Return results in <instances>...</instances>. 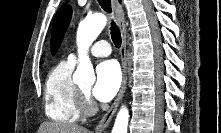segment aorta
Instances as JSON below:
<instances>
[{
	"label": "aorta",
	"mask_w": 221,
	"mask_h": 133,
	"mask_svg": "<svg viewBox=\"0 0 221 133\" xmlns=\"http://www.w3.org/2000/svg\"><path fill=\"white\" fill-rule=\"evenodd\" d=\"M106 23L107 18L101 13L88 16L80 22L76 38L79 64L73 75L74 82H84L87 84H93L95 82L94 69L87 55V51L104 29ZM128 121L129 111L125 106H122L117 114L112 133H127Z\"/></svg>",
	"instance_id": "1"
}]
</instances>
